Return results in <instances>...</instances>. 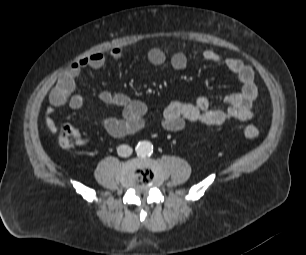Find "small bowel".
I'll use <instances>...</instances> for the list:
<instances>
[{
  "label": "small bowel",
  "instance_id": "1",
  "mask_svg": "<svg viewBox=\"0 0 306 255\" xmlns=\"http://www.w3.org/2000/svg\"><path fill=\"white\" fill-rule=\"evenodd\" d=\"M111 59L118 61L123 57L120 48H113L109 52ZM200 57L210 63L223 65L230 73L236 76L241 87L238 92L229 94L225 102L226 109H212L209 100L200 96L194 103L173 101L164 109L162 126L171 132L183 130L188 123H202L218 126L225 122L238 120L247 121L253 118L252 106L257 97V87L254 82L253 69L234 57H223L213 50H203ZM148 61L155 66L163 65L167 61L166 53L153 47L147 52ZM103 53H93L71 63L58 77L56 84L49 92L50 107L46 110L45 125L51 132L57 130L53 119L55 108L69 105L78 110L84 106V98L75 93L76 79L87 68L98 70L106 64ZM170 65L176 70L187 66L188 59L185 53L178 51L169 58ZM99 99L104 104H112L121 108L120 117H109L102 120L105 131L113 137H123L139 131L144 125V116L147 106L140 100L131 99L122 92L105 90L99 94Z\"/></svg>",
  "mask_w": 306,
  "mask_h": 255
}]
</instances>
